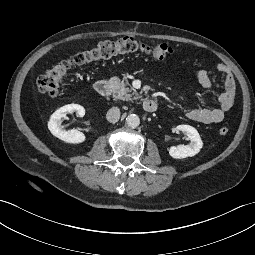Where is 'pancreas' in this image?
Segmentation results:
<instances>
[{"label":"pancreas","instance_id":"1","mask_svg":"<svg viewBox=\"0 0 255 255\" xmlns=\"http://www.w3.org/2000/svg\"><path fill=\"white\" fill-rule=\"evenodd\" d=\"M110 84L113 87V96L116 99L132 101L140 98L138 93L132 92V89L127 87V85H129L128 81H120L118 77H112L110 79Z\"/></svg>","mask_w":255,"mask_h":255}]
</instances>
